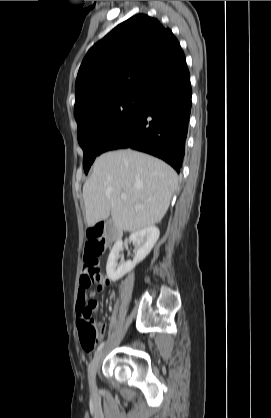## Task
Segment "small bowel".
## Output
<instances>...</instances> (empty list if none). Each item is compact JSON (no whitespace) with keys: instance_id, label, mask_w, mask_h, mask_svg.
<instances>
[{"instance_id":"1","label":"small bowel","mask_w":271,"mask_h":418,"mask_svg":"<svg viewBox=\"0 0 271 418\" xmlns=\"http://www.w3.org/2000/svg\"><path fill=\"white\" fill-rule=\"evenodd\" d=\"M89 275V263L87 260L84 261L83 270L80 277V291L78 294V302H77V312H78V319L80 314H95L96 309L98 308L96 299H85L84 305L82 294L85 293V289L90 286V284H86L85 279ZM95 282L98 283L97 291L92 292L91 296L95 297L99 292L104 290L106 284H108L107 278L100 274L98 277L95 278ZM110 298H113V293L110 294Z\"/></svg>"}]
</instances>
